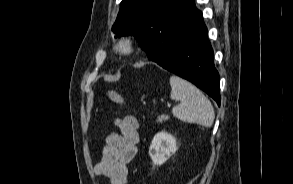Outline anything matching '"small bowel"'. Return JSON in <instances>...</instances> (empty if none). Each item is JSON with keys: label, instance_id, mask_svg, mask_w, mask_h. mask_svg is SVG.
<instances>
[{"label": "small bowel", "instance_id": "c3829d8e", "mask_svg": "<svg viewBox=\"0 0 293 184\" xmlns=\"http://www.w3.org/2000/svg\"><path fill=\"white\" fill-rule=\"evenodd\" d=\"M114 124L120 132L105 133L102 156L94 173L110 184H127L129 164L137 153L139 121L134 115H126L116 118Z\"/></svg>", "mask_w": 293, "mask_h": 184}]
</instances>
